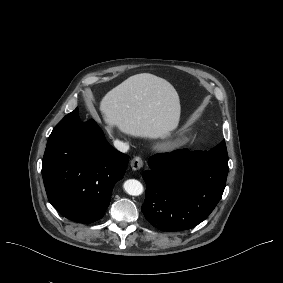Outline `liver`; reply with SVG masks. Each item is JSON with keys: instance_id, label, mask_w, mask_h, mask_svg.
<instances>
[{"instance_id": "1", "label": "liver", "mask_w": 283, "mask_h": 283, "mask_svg": "<svg viewBox=\"0 0 283 283\" xmlns=\"http://www.w3.org/2000/svg\"><path fill=\"white\" fill-rule=\"evenodd\" d=\"M100 110L109 126L115 125L125 134L163 139L177 128L181 107L178 93L167 80L141 73L109 91Z\"/></svg>"}]
</instances>
